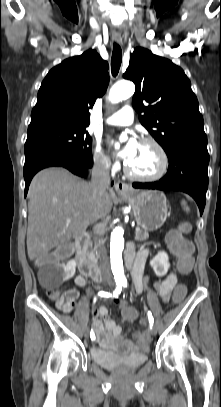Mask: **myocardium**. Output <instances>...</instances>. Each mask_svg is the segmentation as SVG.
<instances>
[{"instance_id": "1", "label": "myocardium", "mask_w": 221, "mask_h": 407, "mask_svg": "<svg viewBox=\"0 0 221 407\" xmlns=\"http://www.w3.org/2000/svg\"><path fill=\"white\" fill-rule=\"evenodd\" d=\"M139 143L142 144H149L154 146L157 151L159 152L161 159H162V166L160 171L151 176H144V175H139L131 170L129 167L128 163L125 165V173L128 177L137 180V181H142V182H155L160 179H162L168 172L169 166H170V159L169 155L166 151V149L155 139L153 138H142Z\"/></svg>"}]
</instances>
